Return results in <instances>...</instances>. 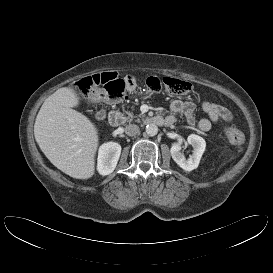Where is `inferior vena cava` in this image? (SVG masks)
Masks as SVG:
<instances>
[{"instance_id":"602c4592","label":"inferior vena cava","mask_w":273,"mask_h":273,"mask_svg":"<svg viewBox=\"0 0 273 273\" xmlns=\"http://www.w3.org/2000/svg\"><path fill=\"white\" fill-rule=\"evenodd\" d=\"M139 131H140L139 126H137L136 124H129L125 127V132L129 136H134L138 134Z\"/></svg>"}]
</instances>
